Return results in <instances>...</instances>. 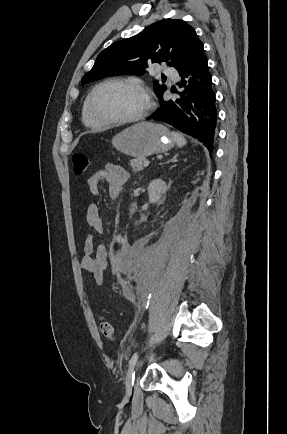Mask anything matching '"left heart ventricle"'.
<instances>
[{
	"label": "left heart ventricle",
	"mask_w": 287,
	"mask_h": 434,
	"mask_svg": "<svg viewBox=\"0 0 287 434\" xmlns=\"http://www.w3.org/2000/svg\"><path fill=\"white\" fill-rule=\"evenodd\" d=\"M146 104V97L140 90L119 84L102 87L93 102L96 113L106 119H125L138 115Z\"/></svg>",
	"instance_id": "left-heart-ventricle-1"
}]
</instances>
